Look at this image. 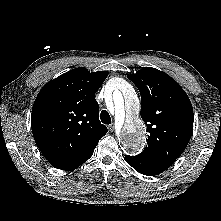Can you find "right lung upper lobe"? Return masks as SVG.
<instances>
[{
    "mask_svg": "<svg viewBox=\"0 0 221 221\" xmlns=\"http://www.w3.org/2000/svg\"><path fill=\"white\" fill-rule=\"evenodd\" d=\"M107 71L79 67L49 81L33 104L32 132L39 150L56 168L64 169L94 151L107 128L99 120L95 93Z\"/></svg>",
    "mask_w": 221,
    "mask_h": 221,
    "instance_id": "right-lung-upper-lobe-1",
    "label": "right lung upper lobe"
}]
</instances>
